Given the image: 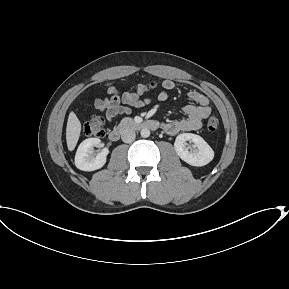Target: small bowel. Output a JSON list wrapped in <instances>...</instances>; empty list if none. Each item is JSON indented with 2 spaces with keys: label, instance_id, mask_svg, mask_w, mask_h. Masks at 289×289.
Masks as SVG:
<instances>
[{
  "label": "small bowel",
  "instance_id": "1",
  "mask_svg": "<svg viewBox=\"0 0 289 289\" xmlns=\"http://www.w3.org/2000/svg\"><path fill=\"white\" fill-rule=\"evenodd\" d=\"M175 86L174 81L164 80L158 99L165 101L168 98V92ZM143 93V84H139L136 91H128L123 94H119L114 87H109L106 97L95 99L94 107L105 112L107 119L112 121L118 115L130 114L132 108H140L148 104V99L141 98ZM188 97L192 103L183 107L185 117L162 124V128L167 134L176 135L179 132L198 130L202 126V121L210 115L211 108L206 95L198 91H191Z\"/></svg>",
  "mask_w": 289,
  "mask_h": 289
}]
</instances>
